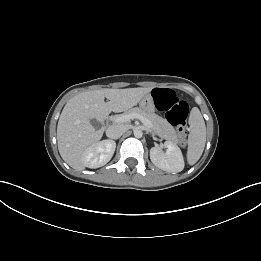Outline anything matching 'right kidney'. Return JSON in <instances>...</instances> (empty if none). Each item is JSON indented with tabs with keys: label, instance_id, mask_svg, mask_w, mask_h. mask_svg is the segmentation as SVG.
Listing matches in <instances>:
<instances>
[{
	"label": "right kidney",
	"instance_id": "obj_1",
	"mask_svg": "<svg viewBox=\"0 0 261 261\" xmlns=\"http://www.w3.org/2000/svg\"><path fill=\"white\" fill-rule=\"evenodd\" d=\"M116 148L112 140H103L89 146L83 153V164L85 167L95 169L107 164Z\"/></svg>",
	"mask_w": 261,
	"mask_h": 261
}]
</instances>
